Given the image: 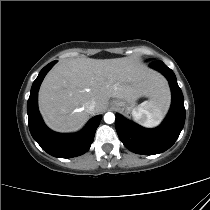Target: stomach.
Masks as SVG:
<instances>
[{"mask_svg": "<svg viewBox=\"0 0 210 210\" xmlns=\"http://www.w3.org/2000/svg\"><path fill=\"white\" fill-rule=\"evenodd\" d=\"M111 105L126 114L133 112V110L137 109L138 107L136 100L126 101L122 99H115L111 102Z\"/></svg>", "mask_w": 210, "mask_h": 210, "instance_id": "stomach-1", "label": "stomach"}]
</instances>
